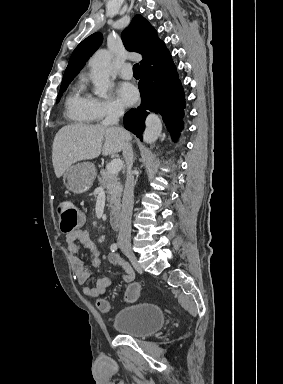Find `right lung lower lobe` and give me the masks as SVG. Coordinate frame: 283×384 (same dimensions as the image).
Segmentation results:
<instances>
[{"instance_id":"98d812e1","label":"right lung lower lobe","mask_w":283,"mask_h":384,"mask_svg":"<svg viewBox=\"0 0 283 384\" xmlns=\"http://www.w3.org/2000/svg\"><path fill=\"white\" fill-rule=\"evenodd\" d=\"M138 87L141 105L124 115L125 128L142 140L145 119L151 111L162 115L172 139H176L183 129L185 95L173 61L160 70L141 74Z\"/></svg>"}]
</instances>
